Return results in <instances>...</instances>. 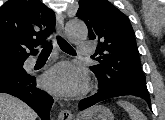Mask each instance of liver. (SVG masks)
I'll return each mask as SVG.
<instances>
[{
	"mask_svg": "<svg viewBox=\"0 0 165 120\" xmlns=\"http://www.w3.org/2000/svg\"><path fill=\"white\" fill-rule=\"evenodd\" d=\"M37 114L23 101L0 93V120H36Z\"/></svg>",
	"mask_w": 165,
	"mask_h": 120,
	"instance_id": "obj_1",
	"label": "liver"
}]
</instances>
